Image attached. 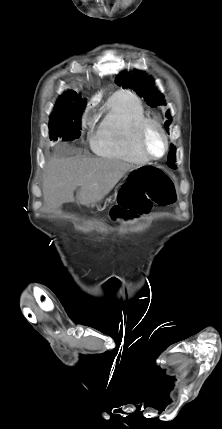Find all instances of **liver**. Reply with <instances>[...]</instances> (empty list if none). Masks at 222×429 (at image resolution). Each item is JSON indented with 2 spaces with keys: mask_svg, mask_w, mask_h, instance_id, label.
<instances>
[{
  "mask_svg": "<svg viewBox=\"0 0 222 429\" xmlns=\"http://www.w3.org/2000/svg\"><path fill=\"white\" fill-rule=\"evenodd\" d=\"M135 168L117 159L53 157L44 172V205L48 210H55L63 203L74 202V190L80 187L78 201L82 205L94 206L128 171Z\"/></svg>",
  "mask_w": 222,
  "mask_h": 429,
  "instance_id": "liver-1",
  "label": "liver"
}]
</instances>
